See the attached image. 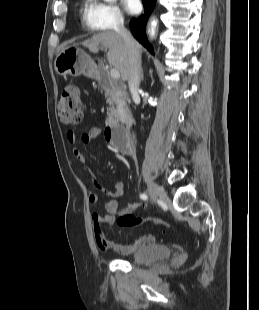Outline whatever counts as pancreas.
I'll list each match as a JSON object with an SVG mask.
<instances>
[{
    "instance_id": "pancreas-1",
    "label": "pancreas",
    "mask_w": 259,
    "mask_h": 310,
    "mask_svg": "<svg viewBox=\"0 0 259 310\" xmlns=\"http://www.w3.org/2000/svg\"><path fill=\"white\" fill-rule=\"evenodd\" d=\"M111 100L114 102V105L111 107L110 111L107 113V124H116L119 122V119L124 114L123 102L117 95H111Z\"/></svg>"
}]
</instances>
